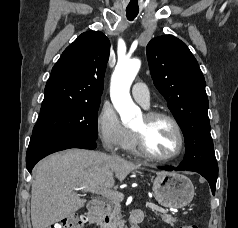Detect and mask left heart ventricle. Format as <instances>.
Returning a JSON list of instances; mask_svg holds the SVG:
<instances>
[{"instance_id":"b2bd125f","label":"left heart ventricle","mask_w":238,"mask_h":228,"mask_svg":"<svg viewBox=\"0 0 238 228\" xmlns=\"http://www.w3.org/2000/svg\"><path fill=\"white\" fill-rule=\"evenodd\" d=\"M133 129L144 134L149 151L156 156L167 157L177 149L176 132L171 123L165 119L149 122L143 115L136 122Z\"/></svg>"}]
</instances>
